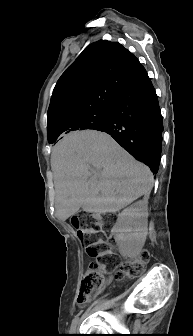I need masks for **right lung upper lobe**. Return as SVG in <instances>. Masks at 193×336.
Listing matches in <instances>:
<instances>
[{
  "mask_svg": "<svg viewBox=\"0 0 193 336\" xmlns=\"http://www.w3.org/2000/svg\"><path fill=\"white\" fill-rule=\"evenodd\" d=\"M141 66L121 44L100 40L90 44L59 78L48 109V140L74 131L76 119L110 108Z\"/></svg>",
  "mask_w": 193,
  "mask_h": 336,
  "instance_id": "1",
  "label": "right lung upper lobe"
}]
</instances>
